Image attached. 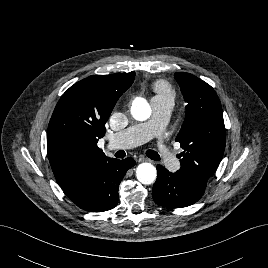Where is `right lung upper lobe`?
I'll return each instance as SVG.
<instances>
[{"instance_id":"cb5924a9","label":"right lung upper lobe","mask_w":268,"mask_h":268,"mask_svg":"<svg viewBox=\"0 0 268 268\" xmlns=\"http://www.w3.org/2000/svg\"><path fill=\"white\" fill-rule=\"evenodd\" d=\"M135 72L89 76L71 86L58 101L47 131L51 168L67 196L80 198L93 175L109 160L98 148L105 124Z\"/></svg>"}]
</instances>
